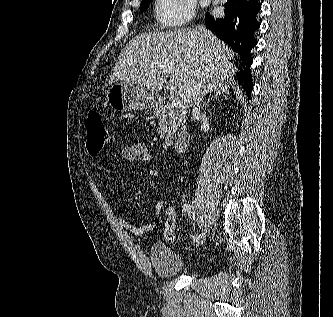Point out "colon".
Segmentation results:
<instances>
[{
  "instance_id": "5ec220e1",
  "label": "colon",
  "mask_w": 333,
  "mask_h": 317,
  "mask_svg": "<svg viewBox=\"0 0 333 317\" xmlns=\"http://www.w3.org/2000/svg\"><path fill=\"white\" fill-rule=\"evenodd\" d=\"M108 142V132L98 111L90 110L87 118L86 148L90 155H97ZM164 219V237L172 244L175 241L177 210L173 205H167L162 210Z\"/></svg>"
}]
</instances>
